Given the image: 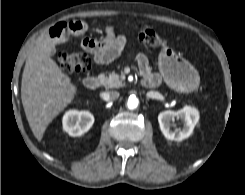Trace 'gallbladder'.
Listing matches in <instances>:
<instances>
[{"label":"gallbladder","mask_w":245,"mask_h":195,"mask_svg":"<svg viewBox=\"0 0 245 195\" xmlns=\"http://www.w3.org/2000/svg\"><path fill=\"white\" fill-rule=\"evenodd\" d=\"M51 52H52V54H54V53H55V51H54V50H51Z\"/></svg>","instance_id":"gallbladder-1"}]
</instances>
